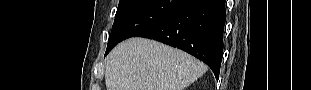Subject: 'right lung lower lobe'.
<instances>
[{"instance_id":"98d812e1","label":"right lung lower lobe","mask_w":311,"mask_h":90,"mask_svg":"<svg viewBox=\"0 0 311 90\" xmlns=\"http://www.w3.org/2000/svg\"><path fill=\"white\" fill-rule=\"evenodd\" d=\"M225 19V0H186L165 19L136 36L190 53L205 62L218 79Z\"/></svg>"}]
</instances>
